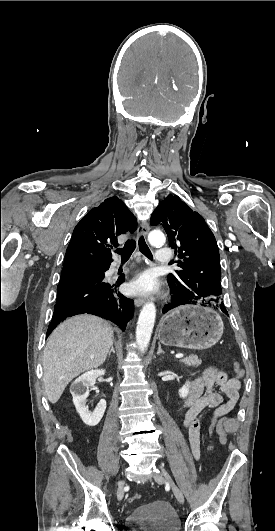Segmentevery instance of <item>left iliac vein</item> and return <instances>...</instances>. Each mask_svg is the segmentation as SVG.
I'll return each mask as SVG.
<instances>
[{
	"label": "left iliac vein",
	"instance_id": "obj_1",
	"mask_svg": "<svg viewBox=\"0 0 275 531\" xmlns=\"http://www.w3.org/2000/svg\"><path fill=\"white\" fill-rule=\"evenodd\" d=\"M161 474L154 475V479L158 484L161 483H168L170 487L172 488V491L179 501V503L184 504V496L181 490L177 487V485L173 482L171 476L168 474V472L165 470L163 466H160Z\"/></svg>",
	"mask_w": 275,
	"mask_h": 531
}]
</instances>
